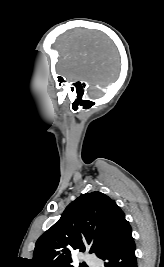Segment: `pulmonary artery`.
I'll return each instance as SVG.
<instances>
[{
    "label": "pulmonary artery",
    "mask_w": 164,
    "mask_h": 267,
    "mask_svg": "<svg viewBox=\"0 0 164 267\" xmlns=\"http://www.w3.org/2000/svg\"><path fill=\"white\" fill-rule=\"evenodd\" d=\"M87 263L93 267H98L97 261L93 258H87Z\"/></svg>",
    "instance_id": "1"
}]
</instances>
